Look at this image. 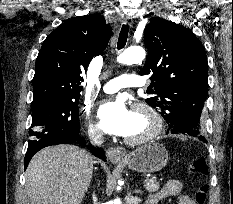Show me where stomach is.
Segmentation results:
<instances>
[{
	"instance_id": "obj_1",
	"label": "stomach",
	"mask_w": 233,
	"mask_h": 204,
	"mask_svg": "<svg viewBox=\"0 0 233 204\" xmlns=\"http://www.w3.org/2000/svg\"><path fill=\"white\" fill-rule=\"evenodd\" d=\"M168 153L165 147L157 142L148 143L117 163L129 169L144 173L160 171L167 165Z\"/></svg>"
}]
</instances>
